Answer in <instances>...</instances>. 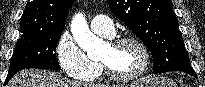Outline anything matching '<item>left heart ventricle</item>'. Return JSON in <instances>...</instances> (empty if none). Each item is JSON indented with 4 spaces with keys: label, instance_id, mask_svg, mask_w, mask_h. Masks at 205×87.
<instances>
[{
    "label": "left heart ventricle",
    "instance_id": "1",
    "mask_svg": "<svg viewBox=\"0 0 205 87\" xmlns=\"http://www.w3.org/2000/svg\"><path fill=\"white\" fill-rule=\"evenodd\" d=\"M100 61L118 75H128L139 70L143 63L141 50L134 44L112 47L110 44L102 53Z\"/></svg>",
    "mask_w": 205,
    "mask_h": 87
}]
</instances>
